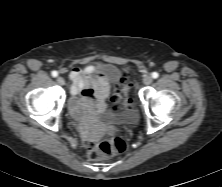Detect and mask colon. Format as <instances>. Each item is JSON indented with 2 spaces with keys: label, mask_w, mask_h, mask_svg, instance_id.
Instances as JSON below:
<instances>
[{
  "label": "colon",
  "mask_w": 222,
  "mask_h": 187,
  "mask_svg": "<svg viewBox=\"0 0 222 187\" xmlns=\"http://www.w3.org/2000/svg\"><path fill=\"white\" fill-rule=\"evenodd\" d=\"M122 100L119 93H114L110 101L117 108ZM126 141L121 137H98L88 141L84 149V155L91 160H104L123 153L126 150Z\"/></svg>",
  "instance_id": "5ec220e1"
}]
</instances>
